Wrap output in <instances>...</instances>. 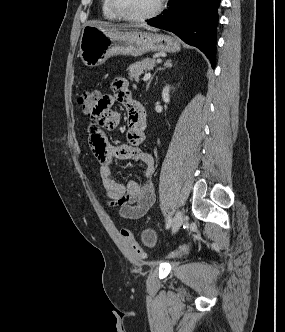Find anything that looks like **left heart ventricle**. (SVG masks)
<instances>
[{
	"label": "left heart ventricle",
	"mask_w": 285,
	"mask_h": 332,
	"mask_svg": "<svg viewBox=\"0 0 285 332\" xmlns=\"http://www.w3.org/2000/svg\"><path fill=\"white\" fill-rule=\"evenodd\" d=\"M119 8L127 15L142 16L152 12L159 0H116Z\"/></svg>",
	"instance_id": "b2bd125f"
}]
</instances>
